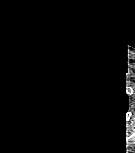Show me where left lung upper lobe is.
<instances>
[{
	"label": "left lung upper lobe",
	"instance_id": "1",
	"mask_svg": "<svg viewBox=\"0 0 135 153\" xmlns=\"http://www.w3.org/2000/svg\"><path fill=\"white\" fill-rule=\"evenodd\" d=\"M123 89L105 74L94 75L85 89L84 102L90 117L97 124L120 118L126 110Z\"/></svg>",
	"mask_w": 135,
	"mask_h": 153
}]
</instances>
